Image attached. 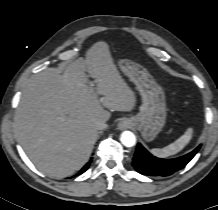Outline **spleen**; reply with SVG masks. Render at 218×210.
I'll return each mask as SVG.
<instances>
[{"mask_svg":"<svg viewBox=\"0 0 218 210\" xmlns=\"http://www.w3.org/2000/svg\"><path fill=\"white\" fill-rule=\"evenodd\" d=\"M192 133L193 129L188 128L186 132L173 143L165 146L164 148H154L151 150V152L153 155L160 158H167L171 155H174L181 151L189 143L192 138Z\"/></svg>","mask_w":218,"mask_h":210,"instance_id":"3e777b00","label":"spleen"}]
</instances>
